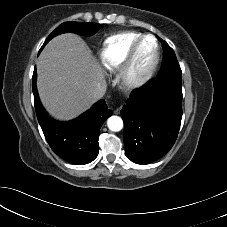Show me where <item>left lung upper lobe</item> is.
I'll list each match as a JSON object with an SVG mask.
<instances>
[{"label": "left lung upper lobe", "mask_w": 227, "mask_h": 227, "mask_svg": "<svg viewBox=\"0 0 227 227\" xmlns=\"http://www.w3.org/2000/svg\"><path fill=\"white\" fill-rule=\"evenodd\" d=\"M160 40L162 41L163 47V62L157 77H169L181 80V68L173 49L165 41H163L162 39Z\"/></svg>", "instance_id": "left-lung-upper-lobe-1"}]
</instances>
